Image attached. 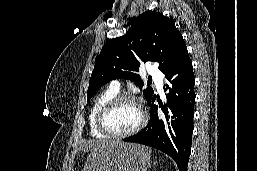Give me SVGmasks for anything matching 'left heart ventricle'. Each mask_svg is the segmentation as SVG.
<instances>
[{"instance_id":"b2bd125f","label":"left heart ventricle","mask_w":257,"mask_h":171,"mask_svg":"<svg viewBox=\"0 0 257 171\" xmlns=\"http://www.w3.org/2000/svg\"><path fill=\"white\" fill-rule=\"evenodd\" d=\"M141 112L133 103H121L115 106L107 115L108 128L116 133L133 129L140 121Z\"/></svg>"}]
</instances>
